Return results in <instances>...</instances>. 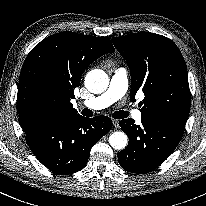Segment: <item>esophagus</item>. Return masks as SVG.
<instances>
[{
    "label": "esophagus",
    "mask_w": 206,
    "mask_h": 206,
    "mask_svg": "<svg viewBox=\"0 0 206 206\" xmlns=\"http://www.w3.org/2000/svg\"><path fill=\"white\" fill-rule=\"evenodd\" d=\"M113 125L114 127L118 128L119 127V122L116 119H113Z\"/></svg>",
    "instance_id": "1"
}]
</instances>
